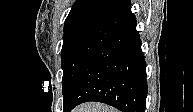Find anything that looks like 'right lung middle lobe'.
Returning a JSON list of instances; mask_svg holds the SVG:
<instances>
[{
  "instance_id": "obj_1",
  "label": "right lung middle lobe",
  "mask_w": 193,
  "mask_h": 112,
  "mask_svg": "<svg viewBox=\"0 0 193 112\" xmlns=\"http://www.w3.org/2000/svg\"><path fill=\"white\" fill-rule=\"evenodd\" d=\"M114 34L111 30L97 27H81L64 32L61 51L63 102L69 96L82 67Z\"/></svg>"
}]
</instances>
